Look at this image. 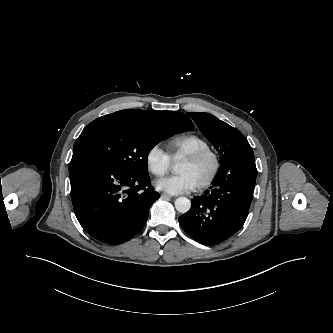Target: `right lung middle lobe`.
Here are the masks:
<instances>
[{
    "label": "right lung middle lobe",
    "instance_id": "1",
    "mask_svg": "<svg viewBox=\"0 0 333 333\" xmlns=\"http://www.w3.org/2000/svg\"><path fill=\"white\" fill-rule=\"evenodd\" d=\"M182 131L180 127L149 128L128 121L98 118L84 128L73 151H87L125 172L148 175L150 150L159 141Z\"/></svg>",
    "mask_w": 333,
    "mask_h": 333
}]
</instances>
